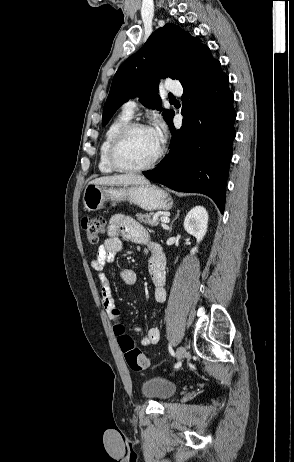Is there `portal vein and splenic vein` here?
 <instances>
[{
	"label": "portal vein and splenic vein",
	"mask_w": 294,
	"mask_h": 462,
	"mask_svg": "<svg viewBox=\"0 0 294 462\" xmlns=\"http://www.w3.org/2000/svg\"><path fill=\"white\" fill-rule=\"evenodd\" d=\"M160 221H161L162 224H166V223L170 222V219L168 217L164 216V217L160 218Z\"/></svg>",
	"instance_id": "obj_1"
}]
</instances>
